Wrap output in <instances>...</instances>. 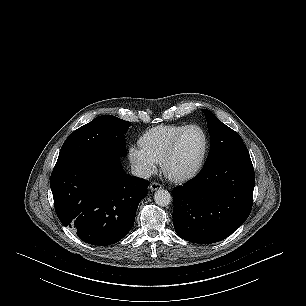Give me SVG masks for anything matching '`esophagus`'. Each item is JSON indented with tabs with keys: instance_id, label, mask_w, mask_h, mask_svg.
I'll return each instance as SVG.
<instances>
[{
	"instance_id": "34e87169",
	"label": "esophagus",
	"mask_w": 306,
	"mask_h": 306,
	"mask_svg": "<svg viewBox=\"0 0 306 306\" xmlns=\"http://www.w3.org/2000/svg\"><path fill=\"white\" fill-rule=\"evenodd\" d=\"M150 190L151 191H156L158 189H161L162 188V185L157 183V182H152L149 186Z\"/></svg>"
}]
</instances>
